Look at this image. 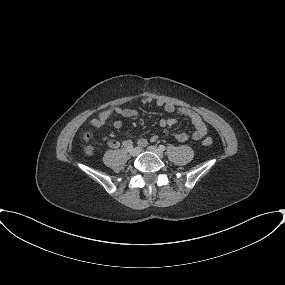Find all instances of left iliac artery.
<instances>
[{"instance_id": "obj_1", "label": "left iliac artery", "mask_w": 285, "mask_h": 285, "mask_svg": "<svg viewBox=\"0 0 285 285\" xmlns=\"http://www.w3.org/2000/svg\"><path fill=\"white\" fill-rule=\"evenodd\" d=\"M159 149H160L161 151H165L166 148H165L164 145H160V146H159Z\"/></svg>"}]
</instances>
